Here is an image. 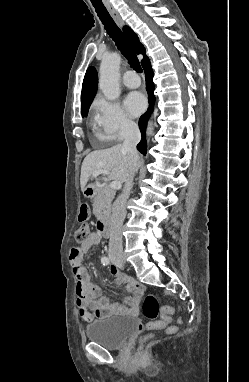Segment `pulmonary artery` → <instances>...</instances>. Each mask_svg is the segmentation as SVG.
Wrapping results in <instances>:
<instances>
[{"instance_id":"1","label":"pulmonary artery","mask_w":249,"mask_h":382,"mask_svg":"<svg viewBox=\"0 0 249 382\" xmlns=\"http://www.w3.org/2000/svg\"><path fill=\"white\" fill-rule=\"evenodd\" d=\"M123 84L128 88H137L140 86V78L133 71H127L123 76Z\"/></svg>"}]
</instances>
